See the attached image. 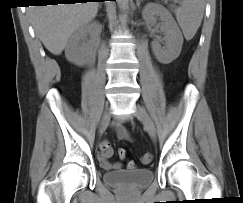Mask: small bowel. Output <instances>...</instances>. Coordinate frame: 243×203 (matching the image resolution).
<instances>
[{"instance_id":"1","label":"small bowel","mask_w":243,"mask_h":203,"mask_svg":"<svg viewBox=\"0 0 243 203\" xmlns=\"http://www.w3.org/2000/svg\"><path fill=\"white\" fill-rule=\"evenodd\" d=\"M113 129L117 134V137L121 140H130L128 131L119 123L113 125ZM114 150L109 141L103 140L99 145L98 160L100 166L105 170H119L121 169V163H111L110 158L113 156ZM120 156V155H119ZM124 158V156H120Z\"/></svg>"}]
</instances>
